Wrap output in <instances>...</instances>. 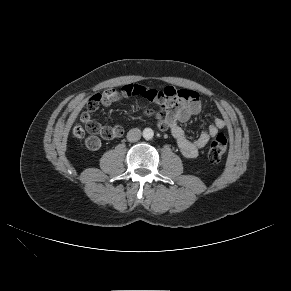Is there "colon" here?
I'll return each instance as SVG.
<instances>
[{
  "label": "colon",
  "mask_w": 291,
  "mask_h": 291,
  "mask_svg": "<svg viewBox=\"0 0 291 291\" xmlns=\"http://www.w3.org/2000/svg\"><path fill=\"white\" fill-rule=\"evenodd\" d=\"M103 97L100 94L92 96L87 103V112L81 117V124H77L73 128V135L77 138H82L86 133L89 134L87 140H94L98 135L113 139L119 137L122 131L118 127H102L91 117V112L95 111ZM228 141L224 134L220 133L209 145L207 156L212 163L219 162L227 150Z\"/></svg>",
  "instance_id": "5ec220e1"
}]
</instances>
